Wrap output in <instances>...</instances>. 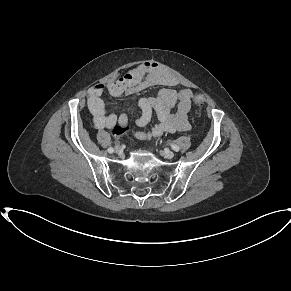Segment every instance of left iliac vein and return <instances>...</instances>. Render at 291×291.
<instances>
[{"label":"left iliac vein","instance_id":"left-iliac-vein-1","mask_svg":"<svg viewBox=\"0 0 291 291\" xmlns=\"http://www.w3.org/2000/svg\"><path fill=\"white\" fill-rule=\"evenodd\" d=\"M164 156L168 159H172L174 157V153L170 150H164Z\"/></svg>","mask_w":291,"mask_h":291}]
</instances>
